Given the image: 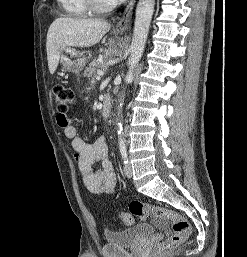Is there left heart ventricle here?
<instances>
[{
  "mask_svg": "<svg viewBox=\"0 0 247 257\" xmlns=\"http://www.w3.org/2000/svg\"><path fill=\"white\" fill-rule=\"evenodd\" d=\"M101 3H107L109 1H112V0H99Z\"/></svg>",
  "mask_w": 247,
  "mask_h": 257,
  "instance_id": "b2bd125f",
  "label": "left heart ventricle"
}]
</instances>
